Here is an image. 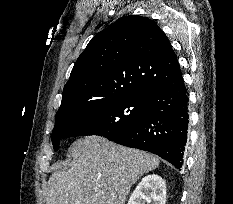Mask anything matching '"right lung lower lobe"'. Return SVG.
<instances>
[{"label":"right lung lower lobe","instance_id":"1","mask_svg":"<svg viewBox=\"0 0 233 204\" xmlns=\"http://www.w3.org/2000/svg\"><path fill=\"white\" fill-rule=\"evenodd\" d=\"M147 101V115L109 140L154 153L180 169L188 137L189 99L179 65Z\"/></svg>","mask_w":233,"mask_h":204}]
</instances>
